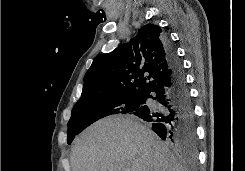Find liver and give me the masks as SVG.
Instances as JSON below:
<instances>
[{"label":"liver","mask_w":245,"mask_h":171,"mask_svg":"<svg viewBox=\"0 0 245 171\" xmlns=\"http://www.w3.org/2000/svg\"><path fill=\"white\" fill-rule=\"evenodd\" d=\"M72 171H186L158 136L131 116L85 129L71 152Z\"/></svg>","instance_id":"6515ba94"}]
</instances>
